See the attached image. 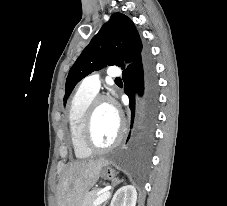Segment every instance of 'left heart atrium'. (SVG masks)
Masks as SVG:
<instances>
[{
	"mask_svg": "<svg viewBox=\"0 0 227 206\" xmlns=\"http://www.w3.org/2000/svg\"><path fill=\"white\" fill-rule=\"evenodd\" d=\"M109 106H110V110H111L112 114L118 118V110H117L116 106L112 103H109Z\"/></svg>",
	"mask_w": 227,
	"mask_h": 206,
	"instance_id": "left-heart-atrium-1",
	"label": "left heart atrium"
}]
</instances>
